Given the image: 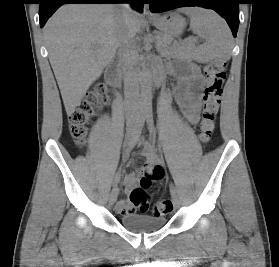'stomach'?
I'll return each instance as SVG.
<instances>
[{
    "label": "stomach",
    "instance_id": "stomach-1",
    "mask_svg": "<svg viewBox=\"0 0 279 267\" xmlns=\"http://www.w3.org/2000/svg\"><path fill=\"white\" fill-rule=\"evenodd\" d=\"M152 22L166 36L180 35L186 25L185 19L175 12L156 17Z\"/></svg>",
    "mask_w": 279,
    "mask_h": 267
}]
</instances>
